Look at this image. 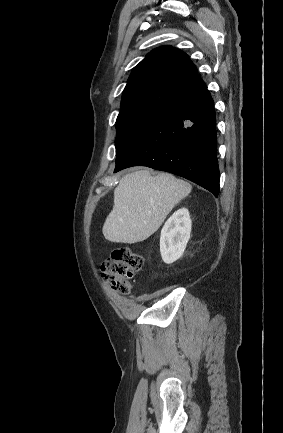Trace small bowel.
I'll return each instance as SVG.
<instances>
[{"label": "small bowel", "instance_id": "c3829d8e", "mask_svg": "<svg viewBox=\"0 0 283 433\" xmlns=\"http://www.w3.org/2000/svg\"><path fill=\"white\" fill-rule=\"evenodd\" d=\"M124 310L126 311L127 314H129V315L131 314V310L130 309H128V308L125 307Z\"/></svg>", "mask_w": 283, "mask_h": 433}]
</instances>
